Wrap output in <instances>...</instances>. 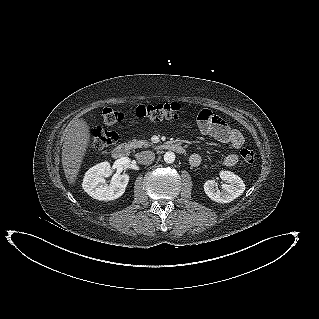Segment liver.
Wrapping results in <instances>:
<instances>
[{"mask_svg": "<svg viewBox=\"0 0 319 319\" xmlns=\"http://www.w3.org/2000/svg\"><path fill=\"white\" fill-rule=\"evenodd\" d=\"M84 119L72 120L62 135V165L65 177L74 184L90 141V130Z\"/></svg>", "mask_w": 319, "mask_h": 319, "instance_id": "6515ba94", "label": "liver"}]
</instances>
